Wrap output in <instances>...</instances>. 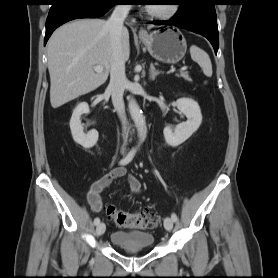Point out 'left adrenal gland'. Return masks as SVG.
<instances>
[{
	"instance_id": "obj_1",
	"label": "left adrenal gland",
	"mask_w": 278,
	"mask_h": 278,
	"mask_svg": "<svg viewBox=\"0 0 278 278\" xmlns=\"http://www.w3.org/2000/svg\"><path fill=\"white\" fill-rule=\"evenodd\" d=\"M160 74H162V72L156 70L153 63H151V65H150V79L154 81L155 78Z\"/></svg>"
}]
</instances>
